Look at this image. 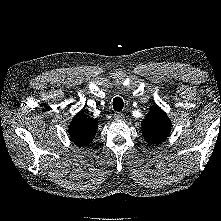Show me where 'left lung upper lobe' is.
<instances>
[{
	"label": "left lung upper lobe",
	"mask_w": 221,
	"mask_h": 221,
	"mask_svg": "<svg viewBox=\"0 0 221 221\" xmlns=\"http://www.w3.org/2000/svg\"><path fill=\"white\" fill-rule=\"evenodd\" d=\"M171 130V122L166 113L157 105L151 108L142 122V133L149 144L164 141Z\"/></svg>",
	"instance_id": "left-lung-upper-lobe-1"
}]
</instances>
